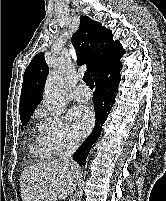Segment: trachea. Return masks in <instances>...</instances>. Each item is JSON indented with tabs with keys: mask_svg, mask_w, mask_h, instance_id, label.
Wrapping results in <instances>:
<instances>
[{
	"mask_svg": "<svg viewBox=\"0 0 166 201\" xmlns=\"http://www.w3.org/2000/svg\"><path fill=\"white\" fill-rule=\"evenodd\" d=\"M84 82L91 88H94V81L90 73H85L83 76Z\"/></svg>",
	"mask_w": 166,
	"mask_h": 201,
	"instance_id": "obj_1",
	"label": "trachea"
}]
</instances>
